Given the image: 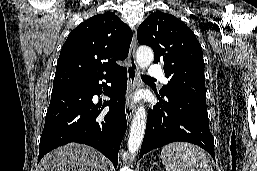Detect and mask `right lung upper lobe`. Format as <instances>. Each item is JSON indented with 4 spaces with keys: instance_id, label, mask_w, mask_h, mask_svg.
I'll list each match as a JSON object with an SVG mask.
<instances>
[{
    "instance_id": "obj_1",
    "label": "right lung upper lobe",
    "mask_w": 257,
    "mask_h": 171,
    "mask_svg": "<svg viewBox=\"0 0 257 171\" xmlns=\"http://www.w3.org/2000/svg\"><path fill=\"white\" fill-rule=\"evenodd\" d=\"M132 33L112 12L93 16L72 30L62 46L53 87L87 82L117 71L128 56Z\"/></svg>"
}]
</instances>
